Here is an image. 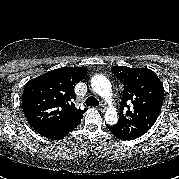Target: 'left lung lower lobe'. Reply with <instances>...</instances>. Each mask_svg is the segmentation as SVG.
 I'll list each match as a JSON object with an SVG mask.
<instances>
[{
  "label": "left lung lower lobe",
  "instance_id": "0a47b994",
  "mask_svg": "<svg viewBox=\"0 0 179 179\" xmlns=\"http://www.w3.org/2000/svg\"><path fill=\"white\" fill-rule=\"evenodd\" d=\"M107 127L113 133V129L110 126H108V125H107Z\"/></svg>",
  "mask_w": 179,
  "mask_h": 179
}]
</instances>
